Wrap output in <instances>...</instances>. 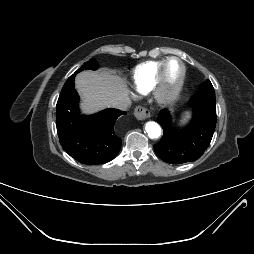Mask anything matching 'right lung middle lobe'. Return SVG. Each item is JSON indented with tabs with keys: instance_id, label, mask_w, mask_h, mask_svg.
Here are the masks:
<instances>
[{
	"instance_id": "dd1d6c3e",
	"label": "right lung middle lobe",
	"mask_w": 254,
	"mask_h": 254,
	"mask_svg": "<svg viewBox=\"0 0 254 254\" xmlns=\"http://www.w3.org/2000/svg\"><path fill=\"white\" fill-rule=\"evenodd\" d=\"M98 67L99 66L97 61H95L94 59H91L88 62H86L80 69H78L74 74L76 75L78 72L87 70V69L96 70Z\"/></svg>"
}]
</instances>
